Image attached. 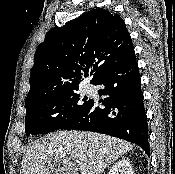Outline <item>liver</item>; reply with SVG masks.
Listing matches in <instances>:
<instances>
[{
	"mask_svg": "<svg viewBox=\"0 0 175 174\" xmlns=\"http://www.w3.org/2000/svg\"><path fill=\"white\" fill-rule=\"evenodd\" d=\"M132 148L129 142L105 134L60 131L30 145L20 174H77V165H84L87 174H102Z\"/></svg>",
	"mask_w": 175,
	"mask_h": 174,
	"instance_id": "liver-1",
	"label": "liver"
}]
</instances>
